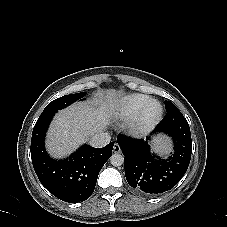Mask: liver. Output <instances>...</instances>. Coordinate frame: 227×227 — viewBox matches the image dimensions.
I'll use <instances>...</instances> for the list:
<instances>
[{
	"instance_id": "1",
	"label": "liver",
	"mask_w": 227,
	"mask_h": 227,
	"mask_svg": "<svg viewBox=\"0 0 227 227\" xmlns=\"http://www.w3.org/2000/svg\"><path fill=\"white\" fill-rule=\"evenodd\" d=\"M117 91H106V96L93 103H77L60 111L54 118L46 147L54 158H62L75 151L93 135L111 123L116 107Z\"/></svg>"
}]
</instances>
